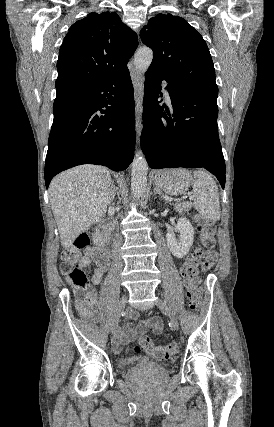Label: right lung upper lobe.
<instances>
[{
  "instance_id": "cb5924a9",
  "label": "right lung upper lobe",
  "mask_w": 274,
  "mask_h": 427,
  "mask_svg": "<svg viewBox=\"0 0 274 427\" xmlns=\"http://www.w3.org/2000/svg\"><path fill=\"white\" fill-rule=\"evenodd\" d=\"M137 45V35L115 12H92L74 23L60 47L54 103L119 78Z\"/></svg>"
}]
</instances>
